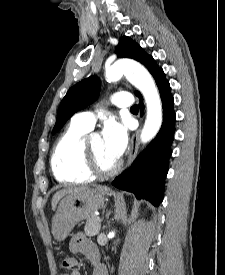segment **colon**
Listing matches in <instances>:
<instances>
[{
  "label": "colon",
  "instance_id": "obj_1",
  "mask_svg": "<svg viewBox=\"0 0 225 275\" xmlns=\"http://www.w3.org/2000/svg\"><path fill=\"white\" fill-rule=\"evenodd\" d=\"M62 267L67 271L75 272L78 270L79 265L75 257L67 256L62 261Z\"/></svg>",
  "mask_w": 225,
  "mask_h": 275
}]
</instances>
